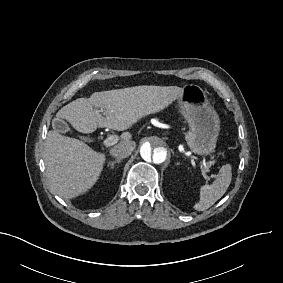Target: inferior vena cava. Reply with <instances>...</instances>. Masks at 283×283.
<instances>
[{"label":"inferior vena cava","instance_id":"1","mask_svg":"<svg viewBox=\"0 0 283 283\" xmlns=\"http://www.w3.org/2000/svg\"><path fill=\"white\" fill-rule=\"evenodd\" d=\"M133 150L134 147L132 145L126 143H120L114 146V148L110 150V154L113 157H115L117 160H122L130 156Z\"/></svg>","mask_w":283,"mask_h":283}]
</instances>
